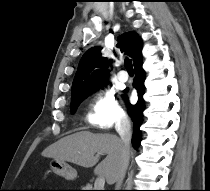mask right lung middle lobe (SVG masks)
Wrapping results in <instances>:
<instances>
[{"label": "right lung middle lobe", "mask_w": 210, "mask_h": 191, "mask_svg": "<svg viewBox=\"0 0 210 191\" xmlns=\"http://www.w3.org/2000/svg\"><path fill=\"white\" fill-rule=\"evenodd\" d=\"M101 87H102V86H101ZM101 87H99V88H101ZM99 88H97V89H99ZM97 89H95V90H93V91H90V92H88V93H86V94L80 95V96H78V97H76V98L71 99V112H72V113H75V111H76L77 107L80 105V103H81L86 97H88L90 94H92L94 91H96Z\"/></svg>", "instance_id": "1"}]
</instances>
